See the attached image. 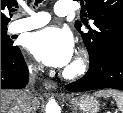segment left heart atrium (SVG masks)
<instances>
[{"label":"left heart atrium","instance_id":"1","mask_svg":"<svg viewBox=\"0 0 123 113\" xmlns=\"http://www.w3.org/2000/svg\"><path fill=\"white\" fill-rule=\"evenodd\" d=\"M27 48L38 61L47 66L62 68L73 57L74 40L68 30L48 27L29 35Z\"/></svg>","mask_w":123,"mask_h":113}]
</instances>
